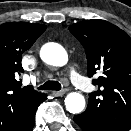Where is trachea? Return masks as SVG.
<instances>
[{"mask_svg": "<svg viewBox=\"0 0 131 131\" xmlns=\"http://www.w3.org/2000/svg\"><path fill=\"white\" fill-rule=\"evenodd\" d=\"M40 90H61V84L58 81H47L38 87Z\"/></svg>", "mask_w": 131, "mask_h": 131, "instance_id": "1", "label": "trachea"}]
</instances>
